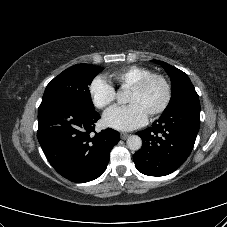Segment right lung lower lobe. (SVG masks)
I'll use <instances>...</instances> for the list:
<instances>
[{
    "label": "right lung lower lobe",
    "mask_w": 227,
    "mask_h": 227,
    "mask_svg": "<svg viewBox=\"0 0 227 227\" xmlns=\"http://www.w3.org/2000/svg\"><path fill=\"white\" fill-rule=\"evenodd\" d=\"M98 119L95 110L65 99L39 107L38 141L52 167L70 181L84 183L99 177L120 140L119 132L111 128L95 132Z\"/></svg>",
    "instance_id": "right-lung-lower-lobe-1"
}]
</instances>
